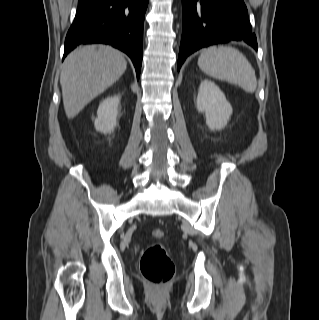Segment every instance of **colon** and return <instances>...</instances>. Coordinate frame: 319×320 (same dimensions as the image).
Here are the masks:
<instances>
[{"instance_id":"1","label":"colon","mask_w":319,"mask_h":320,"mask_svg":"<svg viewBox=\"0 0 319 320\" xmlns=\"http://www.w3.org/2000/svg\"><path fill=\"white\" fill-rule=\"evenodd\" d=\"M162 229H153L151 236L156 239L164 237ZM143 277L151 284L160 287L169 282L175 273V266L163 244L156 243L149 246L140 261Z\"/></svg>"}]
</instances>
